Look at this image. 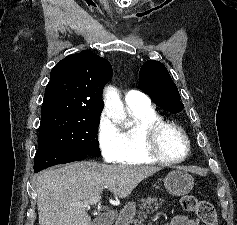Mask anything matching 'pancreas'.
Masks as SVG:
<instances>
[{"instance_id": "pancreas-1", "label": "pancreas", "mask_w": 237, "mask_h": 225, "mask_svg": "<svg viewBox=\"0 0 237 225\" xmlns=\"http://www.w3.org/2000/svg\"><path fill=\"white\" fill-rule=\"evenodd\" d=\"M141 204L139 205L140 209L143 210V209H146L149 211V209L153 210V208L155 210H157L158 208L161 207L162 205V202H157V198L153 197H147V198H141ZM142 213L139 212V215H141ZM145 216V214H143ZM130 223H133L136 225L137 221L136 220H131Z\"/></svg>"}]
</instances>
